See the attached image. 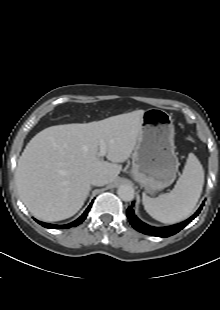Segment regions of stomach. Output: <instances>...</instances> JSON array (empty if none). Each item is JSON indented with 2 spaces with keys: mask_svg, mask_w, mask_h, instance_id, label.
Wrapping results in <instances>:
<instances>
[{
  "mask_svg": "<svg viewBox=\"0 0 220 310\" xmlns=\"http://www.w3.org/2000/svg\"><path fill=\"white\" fill-rule=\"evenodd\" d=\"M179 165L171 115L158 108L146 110L132 154V177L152 194L174 182Z\"/></svg>",
  "mask_w": 220,
  "mask_h": 310,
  "instance_id": "stomach-1",
  "label": "stomach"
}]
</instances>
